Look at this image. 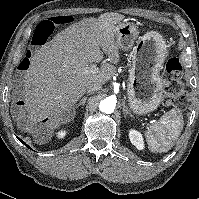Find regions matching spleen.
Here are the masks:
<instances>
[{"mask_svg": "<svg viewBox=\"0 0 199 199\" xmlns=\"http://www.w3.org/2000/svg\"><path fill=\"white\" fill-rule=\"evenodd\" d=\"M184 126L182 113L171 109L145 132L146 141L152 152H167L176 143Z\"/></svg>", "mask_w": 199, "mask_h": 199, "instance_id": "1", "label": "spleen"}]
</instances>
